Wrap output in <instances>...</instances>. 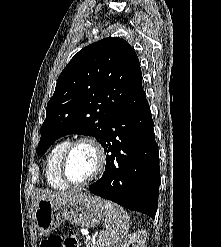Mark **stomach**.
I'll return each instance as SVG.
<instances>
[{
    "instance_id": "obj_1",
    "label": "stomach",
    "mask_w": 221,
    "mask_h": 247,
    "mask_svg": "<svg viewBox=\"0 0 221 247\" xmlns=\"http://www.w3.org/2000/svg\"><path fill=\"white\" fill-rule=\"evenodd\" d=\"M105 202L87 193L74 194L63 200H40L35 208L36 226L41 233H49L65 221L94 227L104 218Z\"/></svg>"
}]
</instances>
